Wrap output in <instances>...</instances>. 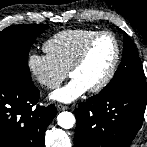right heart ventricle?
Returning a JSON list of instances; mask_svg holds the SVG:
<instances>
[{"mask_svg": "<svg viewBox=\"0 0 147 147\" xmlns=\"http://www.w3.org/2000/svg\"><path fill=\"white\" fill-rule=\"evenodd\" d=\"M95 33L96 30L84 28L63 30L50 37L43 47L61 68L68 71L83 45Z\"/></svg>", "mask_w": 147, "mask_h": 147, "instance_id": "obj_1", "label": "right heart ventricle"}]
</instances>
